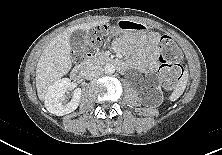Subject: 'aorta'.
<instances>
[{"mask_svg":"<svg viewBox=\"0 0 222 155\" xmlns=\"http://www.w3.org/2000/svg\"><path fill=\"white\" fill-rule=\"evenodd\" d=\"M104 70L106 74H113L115 72V66L108 63L105 65Z\"/></svg>","mask_w":222,"mask_h":155,"instance_id":"1","label":"aorta"}]
</instances>
